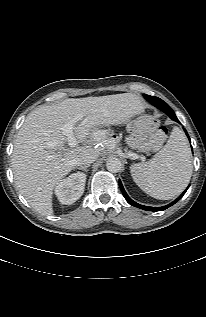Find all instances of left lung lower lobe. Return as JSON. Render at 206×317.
Returning <instances> with one entry per match:
<instances>
[{
  "mask_svg": "<svg viewBox=\"0 0 206 317\" xmlns=\"http://www.w3.org/2000/svg\"><path fill=\"white\" fill-rule=\"evenodd\" d=\"M148 101H149L151 104H153L154 106H156V107H158L159 109H161L162 111H164L167 115H169V117H170L172 120H174V121H176V122L179 123V121H178V119H177V117H176V115H175V113H174L173 111H168L166 108H164L163 106H161L160 104L154 102V101L151 100V99H149ZM184 131H185L187 137L189 138V135H188L187 131H186L185 129H184ZM189 140H190V138H189ZM119 186H120V189H121V192H122L123 196L125 197L126 201H127L130 205H132V206H134V207H137V208H140V209H143V210H147V211H162V210H165V209L169 208L170 206H172L173 204H175L177 201H179V200L182 198V196L185 194V192L187 191V189L189 188V186H188L187 189H186L175 201H173L172 203H170V204H168V205H166V206H163V207H149V206L140 205V204L136 203L135 201H133V200L127 195V193L125 192V190H124V188H123L122 183H121L120 180H119Z\"/></svg>",
  "mask_w": 206,
  "mask_h": 317,
  "instance_id": "1",
  "label": "left lung lower lobe"
}]
</instances>
